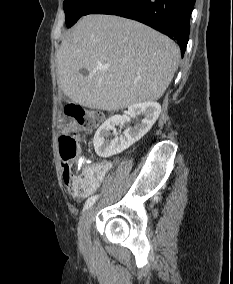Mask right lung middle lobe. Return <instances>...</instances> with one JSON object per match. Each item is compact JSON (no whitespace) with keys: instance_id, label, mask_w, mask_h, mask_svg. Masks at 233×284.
<instances>
[{"instance_id":"1","label":"right lung middle lobe","mask_w":233,"mask_h":284,"mask_svg":"<svg viewBox=\"0 0 233 284\" xmlns=\"http://www.w3.org/2000/svg\"><path fill=\"white\" fill-rule=\"evenodd\" d=\"M107 0H65L63 8L66 15V25L70 28L83 15L92 13Z\"/></svg>"}]
</instances>
